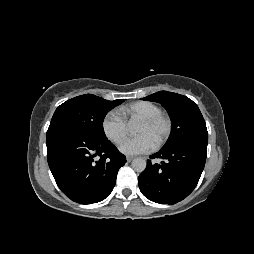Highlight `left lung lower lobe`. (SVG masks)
Masks as SVG:
<instances>
[{
  "label": "left lung lower lobe",
  "instance_id": "obj_1",
  "mask_svg": "<svg viewBox=\"0 0 254 254\" xmlns=\"http://www.w3.org/2000/svg\"><path fill=\"white\" fill-rule=\"evenodd\" d=\"M207 143L186 142L161 149L150 158H161L160 164L148 160L138 177L139 188L149 200L160 204H175L186 198L196 187L204 169Z\"/></svg>",
  "mask_w": 254,
  "mask_h": 254
}]
</instances>
